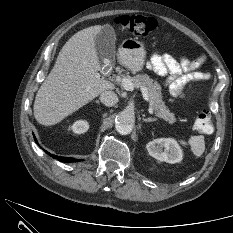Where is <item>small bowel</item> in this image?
<instances>
[{
	"instance_id": "1",
	"label": "small bowel",
	"mask_w": 233,
	"mask_h": 233,
	"mask_svg": "<svg viewBox=\"0 0 233 233\" xmlns=\"http://www.w3.org/2000/svg\"><path fill=\"white\" fill-rule=\"evenodd\" d=\"M204 62V56L194 60L182 57L178 61L171 54L156 53L151 58V65L159 75H170L168 88L175 97H182L183 89L190 83L209 79V73L200 71Z\"/></svg>"
}]
</instances>
